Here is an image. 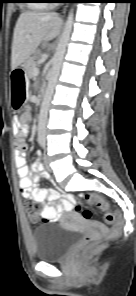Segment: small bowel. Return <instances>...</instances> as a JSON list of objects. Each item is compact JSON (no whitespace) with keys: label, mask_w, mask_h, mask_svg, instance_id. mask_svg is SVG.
Returning <instances> with one entry per match:
<instances>
[{"label":"small bowel","mask_w":136,"mask_h":296,"mask_svg":"<svg viewBox=\"0 0 136 296\" xmlns=\"http://www.w3.org/2000/svg\"><path fill=\"white\" fill-rule=\"evenodd\" d=\"M28 118L27 111L15 117L17 131L19 133L16 139L15 163L17 166V173L20 178L19 187L24 198L33 200L35 202H54V204L46 205L41 210L39 216L49 222H55L62 218L65 212H69L74 201L73 195H64L62 199L60 193L54 188H40L38 181L40 178L49 180L50 174L44 169L41 164L39 153L29 167L26 163V152L28 145L25 142V135L28 133V126L26 120ZM38 215H31L30 220L35 222Z\"/></svg>","instance_id":"c3829d8e"}]
</instances>
